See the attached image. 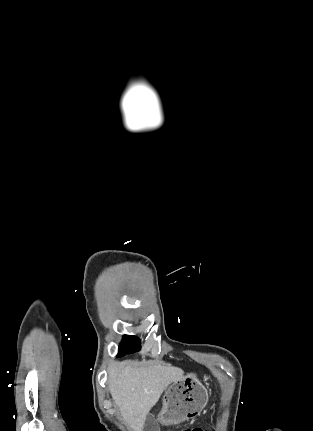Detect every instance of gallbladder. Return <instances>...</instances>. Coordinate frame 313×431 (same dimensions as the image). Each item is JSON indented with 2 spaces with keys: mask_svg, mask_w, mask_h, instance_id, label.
<instances>
[{
  "mask_svg": "<svg viewBox=\"0 0 313 431\" xmlns=\"http://www.w3.org/2000/svg\"><path fill=\"white\" fill-rule=\"evenodd\" d=\"M145 427L148 431H156L157 430V422L154 417L147 418Z\"/></svg>",
  "mask_w": 313,
  "mask_h": 431,
  "instance_id": "1",
  "label": "gallbladder"
}]
</instances>
